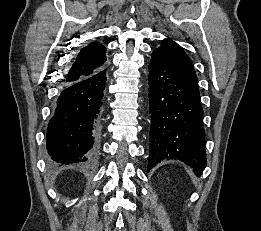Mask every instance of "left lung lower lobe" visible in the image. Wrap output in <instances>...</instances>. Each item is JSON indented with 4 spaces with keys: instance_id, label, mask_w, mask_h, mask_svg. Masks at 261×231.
<instances>
[{
    "instance_id": "1",
    "label": "left lung lower lobe",
    "mask_w": 261,
    "mask_h": 231,
    "mask_svg": "<svg viewBox=\"0 0 261 231\" xmlns=\"http://www.w3.org/2000/svg\"><path fill=\"white\" fill-rule=\"evenodd\" d=\"M150 156L148 171L178 159L201 175L207 165L198 85L152 54L149 63Z\"/></svg>"
}]
</instances>
